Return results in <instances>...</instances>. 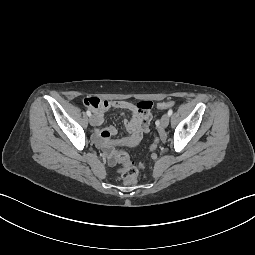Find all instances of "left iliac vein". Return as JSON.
Returning a JSON list of instances; mask_svg holds the SVG:
<instances>
[{
	"label": "left iliac vein",
	"instance_id": "4c4485c4",
	"mask_svg": "<svg viewBox=\"0 0 255 255\" xmlns=\"http://www.w3.org/2000/svg\"><path fill=\"white\" fill-rule=\"evenodd\" d=\"M169 125V115L164 114L161 118V127L166 128Z\"/></svg>",
	"mask_w": 255,
	"mask_h": 255
}]
</instances>
